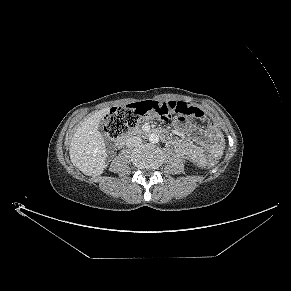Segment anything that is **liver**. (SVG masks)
Instances as JSON below:
<instances>
[{
    "instance_id": "obj_1",
    "label": "liver",
    "mask_w": 291,
    "mask_h": 291,
    "mask_svg": "<svg viewBox=\"0 0 291 291\" xmlns=\"http://www.w3.org/2000/svg\"><path fill=\"white\" fill-rule=\"evenodd\" d=\"M108 110L109 108H104L88 117L71 139L69 146L71 162L87 176L101 175L106 168V146L98 127Z\"/></svg>"
}]
</instances>
